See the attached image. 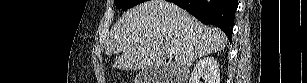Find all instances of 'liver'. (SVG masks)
<instances>
[{
    "mask_svg": "<svg viewBox=\"0 0 307 83\" xmlns=\"http://www.w3.org/2000/svg\"><path fill=\"white\" fill-rule=\"evenodd\" d=\"M225 34L204 26L182 8L165 0H150L125 12L114 24L106 42L108 56L125 70L161 69L165 54L176 50L175 66L187 69L197 58L225 48ZM159 81H169L163 77ZM161 83V82H157Z\"/></svg>",
    "mask_w": 307,
    "mask_h": 83,
    "instance_id": "obj_1",
    "label": "liver"
}]
</instances>
